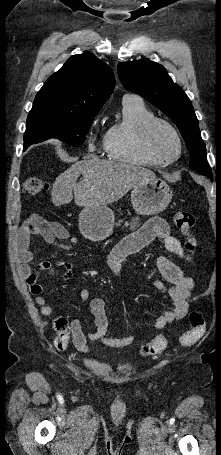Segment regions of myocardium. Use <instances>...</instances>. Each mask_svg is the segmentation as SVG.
Segmentation results:
<instances>
[{
  "instance_id": "myocardium-1",
  "label": "myocardium",
  "mask_w": 221,
  "mask_h": 455,
  "mask_svg": "<svg viewBox=\"0 0 221 455\" xmlns=\"http://www.w3.org/2000/svg\"><path fill=\"white\" fill-rule=\"evenodd\" d=\"M162 126L166 128L171 135L174 137L177 143V155L175 157H167L162 154L154 145L153 136L157 127ZM140 141L142 147L154 158L164 162V163H172L179 159L182 153L183 145L181 137L176 130V128L167 120L159 117H153L146 121L140 131Z\"/></svg>"
}]
</instances>
